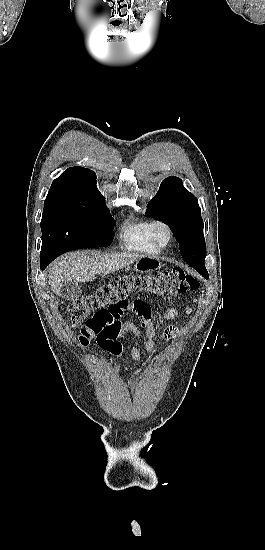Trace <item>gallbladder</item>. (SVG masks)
Returning a JSON list of instances; mask_svg holds the SVG:
<instances>
[{"label":"gallbladder","instance_id":"bac80fb5","mask_svg":"<svg viewBox=\"0 0 265 550\" xmlns=\"http://www.w3.org/2000/svg\"><path fill=\"white\" fill-rule=\"evenodd\" d=\"M61 293L66 300H75L81 295L82 288L78 283H66L62 286Z\"/></svg>","mask_w":265,"mask_h":550}]
</instances>
